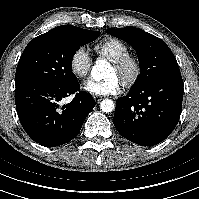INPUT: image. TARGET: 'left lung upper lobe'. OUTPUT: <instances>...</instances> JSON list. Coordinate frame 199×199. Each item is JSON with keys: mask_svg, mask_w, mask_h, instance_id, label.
Instances as JSON below:
<instances>
[{"mask_svg": "<svg viewBox=\"0 0 199 199\" xmlns=\"http://www.w3.org/2000/svg\"><path fill=\"white\" fill-rule=\"evenodd\" d=\"M107 32L136 50L140 75L132 89L142 88L158 77L179 71L175 56L160 38L135 27L110 28Z\"/></svg>", "mask_w": 199, "mask_h": 199, "instance_id": "5c2ea615", "label": "left lung upper lobe"}]
</instances>
